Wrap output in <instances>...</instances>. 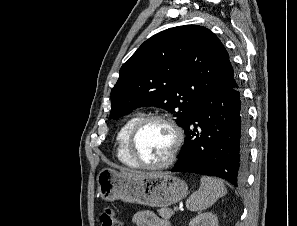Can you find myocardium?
Segmentation results:
<instances>
[{"label": "myocardium", "instance_id": "obj_1", "mask_svg": "<svg viewBox=\"0 0 297 226\" xmlns=\"http://www.w3.org/2000/svg\"><path fill=\"white\" fill-rule=\"evenodd\" d=\"M153 121H160L167 124L172 129L175 139H174V144L171 149V152L164 161L157 164H147L143 162L138 156L135 150V141L142 127L147 123H150ZM184 138L185 136L181 126L174 118L165 114H149L141 117L131 128L128 136V140H127V149L130 157L133 159V161L139 168L148 169V170H159V169L167 168L172 164H174L183 146Z\"/></svg>", "mask_w": 297, "mask_h": 226}]
</instances>
